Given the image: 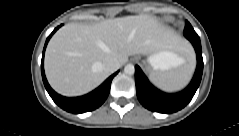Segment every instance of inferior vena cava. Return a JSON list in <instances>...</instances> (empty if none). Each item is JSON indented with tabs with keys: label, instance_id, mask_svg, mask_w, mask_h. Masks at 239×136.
Instances as JSON below:
<instances>
[{
	"label": "inferior vena cava",
	"instance_id": "602c4592",
	"mask_svg": "<svg viewBox=\"0 0 239 136\" xmlns=\"http://www.w3.org/2000/svg\"><path fill=\"white\" fill-rule=\"evenodd\" d=\"M105 68L110 71V72H114L116 71L120 65L116 60H108L105 64H104Z\"/></svg>",
	"mask_w": 239,
	"mask_h": 136
}]
</instances>
